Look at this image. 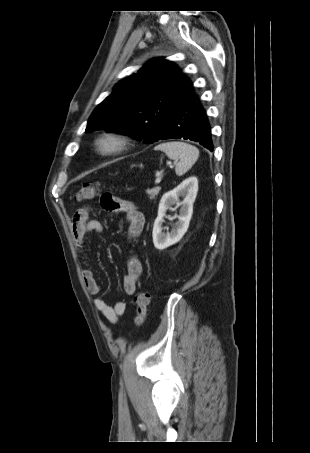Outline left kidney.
Wrapping results in <instances>:
<instances>
[{"mask_svg":"<svg viewBox=\"0 0 310 453\" xmlns=\"http://www.w3.org/2000/svg\"><path fill=\"white\" fill-rule=\"evenodd\" d=\"M198 192V180L195 176L189 177L173 190L165 193L159 203L158 216L153 226V243L156 249L164 250L169 246L179 242L187 232L189 222L193 214V204ZM183 201H179V197ZM180 207L178 221L174 224L170 232L164 233L163 222L166 211L172 206Z\"/></svg>","mask_w":310,"mask_h":453,"instance_id":"left-kidney-1","label":"left kidney"}]
</instances>
